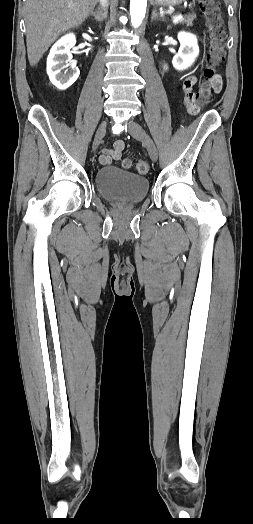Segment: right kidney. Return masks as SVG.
<instances>
[{"mask_svg": "<svg viewBox=\"0 0 253 524\" xmlns=\"http://www.w3.org/2000/svg\"><path fill=\"white\" fill-rule=\"evenodd\" d=\"M76 44L75 35L63 36L51 48L47 58V74L51 83L60 90L70 87L79 77L80 71L72 64L70 49ZM66 69L64 72L62 70Z\"/></svg>", "mask_w": 253, "mask_h": 524, "instance_id": "1", "label": "right kidney"}]
</instances>
